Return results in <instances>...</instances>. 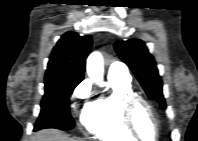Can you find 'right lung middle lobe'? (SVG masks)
Listing matches in <instances>:
<instances>
[{"label":"right lung middle lobe","instance_id":"obj_1","mask_svg":"<svg viewBox=\"0 0 198 141\" xmlns=\"http://www.w3.org/2000/svg\"><path fill=\"white\" fill-rule=\"evenodd\" d=\"M81 81L79 79H45V94L34 131L43 128L70 130L75 126L69 112V97Z\"/></svg>","mask_w":198,"mask_h":141}]
</instances>
